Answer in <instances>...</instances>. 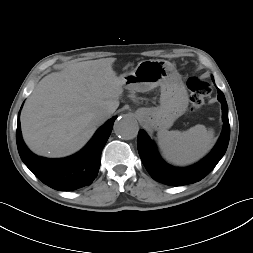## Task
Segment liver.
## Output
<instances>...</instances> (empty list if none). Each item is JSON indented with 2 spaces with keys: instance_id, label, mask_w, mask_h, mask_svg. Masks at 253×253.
Listing matches in <instances>:
<instances>
[{
  "instance_id": "6515ba94",
  "label": "liver",
  "mask_w": 253,
  "mask_h": 253,
  "mask_svg": "<svg viewBox=\"0 0 253 253\" xmlns=\"http://www.w3.org/2000/svg\"><path fill=\"white\" fill-rule=\"evenodd\" d=\"M116 58L70 64L45 76L21 113L27 146L46 157H64L80 150L100 125L94 116L119 106L123 81L112 68Z\"/></svg>"
}]
</instances>
